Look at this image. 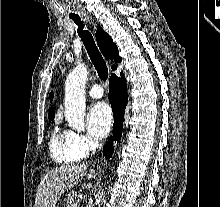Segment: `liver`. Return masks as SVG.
I'll return each mask as SVG.
<instances>
[{
	"label": "liver",
	"instance_id": "liver-1",
	"mask_svg": "<svg viewBox=\"0 0 220 207\" xmlns=\"http://www.w3.org/2000/svg\"><path fill=\"white\" fill-rule=\"evenodd\" d=\"M95 170L86 164L59 166L48 171L37 188L35 207H56L62 194L76 185L83 176L95 178Z\"/></svg>",
	"mask_w": 220,
	"mask_h": 207
}]
</instances>
